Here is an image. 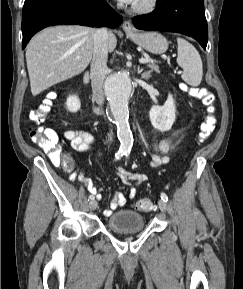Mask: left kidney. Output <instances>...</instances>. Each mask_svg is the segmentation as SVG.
I'll use <instances>...</instances> for the list:
<instances>
[{
  "instance_id": "5707ae66",
  "label": "left kidney",
  "mask_w": 243,
  "mask_h": 289,
  "mask_svg": "<svg viewBox=\"0 0 243 289\" xmlns=\"http://www.w3.org/2000/svg\"><path fill=\"white\" fill-rule=\"evenodd\" d=\"M149 116L155 129L161 132L170 130L176 119V108L172 95H168L164 106H152Z\"/></svg>"
}]
</instances>
